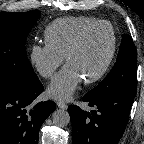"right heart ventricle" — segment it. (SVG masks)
I'll return each mask as SVG.
<instances>
[{"label":"right heart ventricle","mask_w":144,"mask_h":144,"mask_svg":"<svg viewBox=\"0 0 144 144\" xmlns=\"http://www.w3.org/2000/svg\"><path fill=\"white\" fill-rule=\"evenodd\" d=\"M94 17H63L51 22L44 31L45 43L61 56H65L70 44L85 27L98 22Z\"/></svg>","instance_id":"e07e8e85"}]
</instances>
